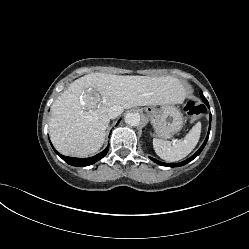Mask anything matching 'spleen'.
<instances>
[{
	"label": "spleen",
	"instance_id": "obj_1",
	"mask_svg": "<svg viewBox=\"0 0 249 249\" xmlns=\"http://www.w3.org/2000/svg\"><path fill=\"white\" fill-rule=\"evenodd\" d=\"M201 134V123L198 122L186 135L184 140L177 143L163 141L159 139L153 140L154 149L157 155L165 161L176 162L185 158L196 147Z\"/></svg>",
	"mask_w": 249,
	"mask_h": 249
}]
</instances>
